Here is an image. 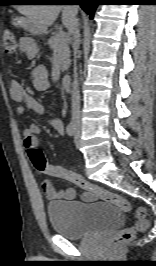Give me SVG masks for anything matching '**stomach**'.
Listing matches in <instances>:
<instances>
[{"instance_id":"obj_1","label":"stomach","mask_w":156,"mask_h":266,"mask_svg":"<svg viewBox=\"0 0 156 266\" xmlns=\"http://www.w3.org/2000/svg\"><path fill=\"white\" fill-rule=\"evenodd\" d=\"M13 25L16 27H22L32 34H42L45 29L38 24L31 21L28 17H17L13 20Z\"/></svg>"}]
</instances>
